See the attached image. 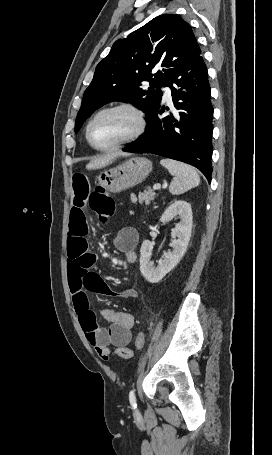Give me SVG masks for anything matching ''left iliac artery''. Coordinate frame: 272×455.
I'll return each mask as SVG.
<instances>
[{"instance_id": "44dca946", "label": "left iliac artery", "mask_w": 272, "mask_h": 455, "mask_svg": "<svg viewBox=\"0 0 272 455\" xmlns=\"http://www.w3.org/2000/svg\"><path fill=\"white\" fill-rule=\"evenodd\" d=\"M129 401H130V404L132 405V407L134 409H136L137 404H136V397H135L134 390H131L129 393Z\"/></svg>"}]
</instances>
